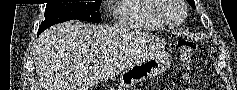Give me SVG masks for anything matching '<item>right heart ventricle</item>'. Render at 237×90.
I'll return each instance as SVG.
<instances>
[{
  "instance_id": "1",
  "label": "right heart ventricle",
  "mask_w": 237,
  "mask_h": 90,
  "mask_svg": "<svg viewBox=\"0 0 237 90\" xmlns=\"http://www.w3.org/2000/svg\"><path fill=\"white\" fill-rule=\"evenodd\" d=\"M119 6L111 7V14L115 15L110 24L115 28H136V29H164L154 20L151 10H159V7H166L168 2H157V0H118ZM159 10V14H163Z\"/></svg>"
}]
</instances>
